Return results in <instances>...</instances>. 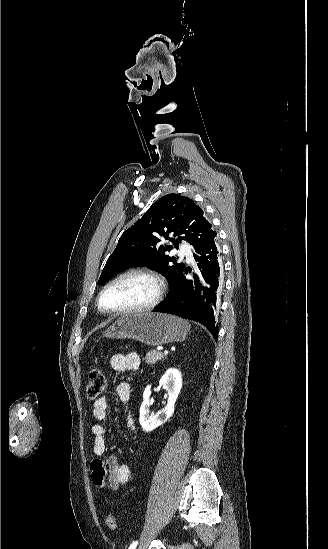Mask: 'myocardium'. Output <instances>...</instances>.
I'll list each match as a JSON object with an SVG mask.
<instances>
[{
	"mask_svg": "<svg viewBox=\"0 0 328 549\" xmlns=\"http://www.w3.org/2000/svg\"><path fill=\"white\" fill-rule=\"evenodd\" d=\"M130 274H140L148 277L155 285L154 296L148 302L139 306H134L121 310L105 308L103 305V296L106 291L119 280ZM165 288V282L162 276L154 270L153 266L146 264L131 265L119 272L103 286L97 298V308L102 314L113 318L150 313L155 311L158 304L161 302L165 292Z\"/></svg>",
	"mask_w": 328,
	"mask_h": 549,
	"instance_id": "myocardium-1",
	"label": "myocardium"
}]
</instances>
